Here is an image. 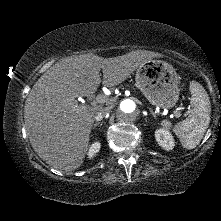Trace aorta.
<instances>
[{
  "mask_svg": "<svg viewBox=\"0 0 221 221\" xmlns=\"http://www.w3.org/2000/svg\"><path fill=\"white\" fill-rule=\"evenodd\" d=\"M116 114L121 122H132L138 115V106L132 99H124L119 103Z\"/></svg>",
  "mask_w": 221,
  "mask_h": 221,
  "instance_id": "1",
  "label": "aorta"
}]
</instances>
